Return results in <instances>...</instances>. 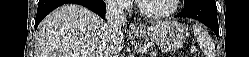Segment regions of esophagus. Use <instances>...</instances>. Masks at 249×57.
<instances>
[{"label":"esophagus","mask_w":249,"mask_h":57,"mask_svg":"<svg viewBox=\"0 0 249 57\" xmlns=\"http://www.w3.org/2000/svg\"><path fill=\"white\" fill-rule=\"evenodd\" d=\"M129 29H130V31L135 32V31L139 30V26L137 24H131L129 26Z\"/></svg>","instance_id":"obj_1"}]
</instances>
